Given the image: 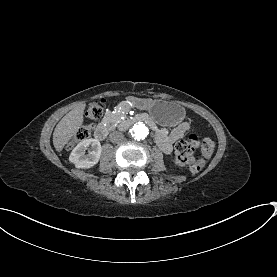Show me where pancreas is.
<instances>
[{"instance_id":"pancreas-1","label":"pancreas","mask_w":277,"mask_h":277,"mask_svg":"<svg viewBox=\"0 0 277 277\" xmlns=\"http://www.w3.org/2000/svg\"><path fill=\"white\" fill-rule=\"evenodd\" d=\"M130 111L131 107L128 102H119L116 108L110 109L108 112L104 114V123L109 126L115 125L117 121L120 119V116H128L130 114Z\"/></svg>"}]
</instances>
